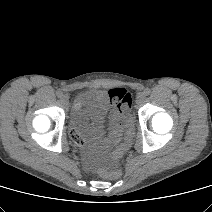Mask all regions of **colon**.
<instances>
[{"instance_id":"5ec220e1","label":"colon","mask_w":212,"mask_h":212,"mask_svg":"<svg viewBox=\"0 0 212 212\" xmlns=\"http://www.w3.org/2000/svg\"><path fill=\"white\" fill-rule=\"evenodd\" d=\"M110 98L114 100L119 112L124 113L131 107V96L130 94L122 88H115L110 91ZM132 137V127H129L127 137L124 143H122L114 152L115 160H119L123 154L128 150L130 145V140ZM76 142L80 143L81 140L77 136L73 135ZM99 174L108 179H117L121 175V171L117 167H112L109 169H102Z\"/></svg>"}]
</instances>
